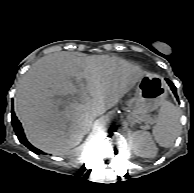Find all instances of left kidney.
I'll use <instances>...</instances> for the list:
<instances>
[{"mask_svg": "<svg viewBox=\"0 0 194 193\" xmlns=\"http://www.w3.org/2000/svg\"><path fill=\"white\" fill-rule=\"evenodd\" d=\"M133 152L140 157L154 158L158 153V148L148 131L139 130L133 133Z\"/></svg>", "mask_w": 194, "mask_h": 193, "instance_id": "obj_1", "label": "left kidney"}]
</instances>
